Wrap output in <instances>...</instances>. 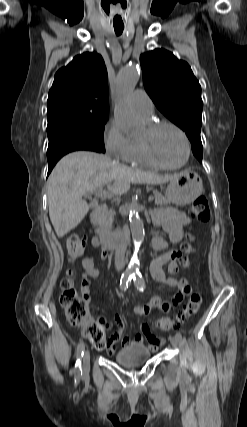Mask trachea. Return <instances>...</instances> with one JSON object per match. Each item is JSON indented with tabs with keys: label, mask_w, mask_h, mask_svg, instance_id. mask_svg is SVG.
<instances>
[{
	"label": "trachea",
	"mask_w": 247,
	"mask_h": 427,
	"mask_svg": "<svg viewBox=\"0 0 247 427\" xmlns=\"http://www.w3.org/2000/svg\"><path fill=\"white\" fill-rule=\"evenodd\" d=\"M124 29V25H114V30L117 36L121 35Z\"/></svg>",
	"instance_id": "trachea-1"
}]
</instances>
